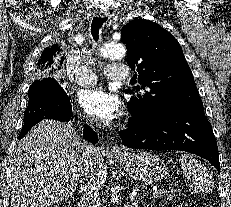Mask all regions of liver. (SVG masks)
Wrapping results in <instances>:
<instances>
[{
  "instance_id": "1",
  "label": "liver",
  "mask_w": 231,
  "mask_h": 207,
  "mask_svg": "<svg viewBox=\"0 0 231 207\" xmlns=\"http://www.w3.org/2000/svg\"><path fill=\"white\" fill-rule=\"evenodd\" d=\"M11 164V207L50 206L76 191L86 164L83 141L69 123L43 120L19 142ZM106 176L102 163L96 168L99 189Z\"/></svg>"
}]
</instances>
